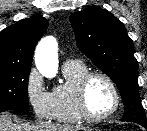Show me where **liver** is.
I'll return each mask as SVG.
<instances>
[{
    "instance_id": "1",
    "label": "liver",
    "mask_w": 147,
    "mask_h": 131,
    "mask_svg": "<svg viewBox=\"0 0 147 131\" xmlns=\"http://www.w3.org/2000/svg\"><path fill=\"white\" fill-rule=\"evenodd\" d=\"M82 126H70L61 124H15L10 113H0V131H80L85 130Z\"/></svg>"
}]
</instances>
